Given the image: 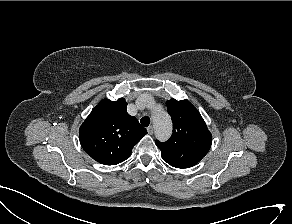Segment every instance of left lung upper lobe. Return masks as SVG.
Here are the masks:
<instances>
[{
	"instance_id": "1",
	"label": "left lung upper lobe",
	"mask_w": 292,
	"mask_h": 224,
	"mask_svg": "<svg viewBox=\"0 0 292 224\" xmlns=\"http://www.w3.org/2000/svg\"><path fill=\"white\" fill-rule=\"evenodd\" d=\"M166 105L172 117L173 133L167 142L156 140L155 143L169 165L192 167L209 151L212 135L198 110L188 100L170 99Z\"/></svg>"
}]
</instances>
